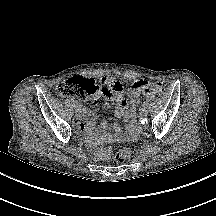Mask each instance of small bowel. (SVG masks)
<instances>
[{
    "mask_svg": "<svg viewBox=\"0 0 216 216\" xmlns=\"http://www.w3.org/2000/svg\"><path fill=\"white\" fill-rule=\"evenodd\" d=\"M102 81L106 86L103 95L113 104L115 115L125 122V129L122 130L116 124L109 127L106 122L97 125L93 114L90 111H85L86 122L83 123L80 118L76 117L75 127L85 133L91 146L130 139L138 133L136 109L140 103L141 93L134 85L126 90L124 85L112 76H106Z\"/></svg>",
    "mask_w": 216,
    "mask_h": 216,
    "instance_id": "c3829d8e",
    "label": "small bowel"
}]
</instances>
